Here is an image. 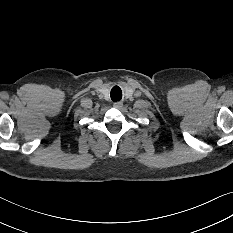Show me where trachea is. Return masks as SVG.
Instances as JSON below:
<instances>
[{"mask_svg":"<svg viewBox=\"0 0 233 233\" xmlns=\"http://www.w3.org/2000/svg\"><path fill=\"white\" fill-rule=\"evenodd\" d=\"M111 99H112L113 101H119V100L121 99V97H115V96H112V95H111Z\"/></svg>","mask_w":233,"mask_h":233,"instance_id":"3493384b","label":"trachea"}]
</instances>
